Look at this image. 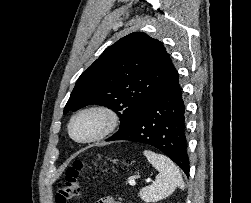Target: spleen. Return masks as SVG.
Listing matches in <instances>:
<instances>
[{
    "label": "spleen",
    "instance_id": "obj_1",
    "mask_svg": "<svg viewBox=\"0 0 251 203\" xmlns=\"http://www.w3.org/2000/svg\"><path fill=\"white\" fill-rule=\"evenodd\" d=\"M147 160L158 170L155 182L140 190V198L145 202H156L171 195L177 187L183 189L184 183L179 169L167 156L145 150Z\"/></svg>",
    "mask_w": 251,
    "mask_h": 203
}]
</instances>
